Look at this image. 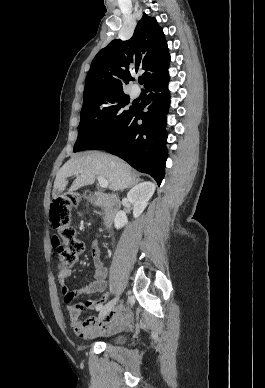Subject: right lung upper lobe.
Returning a JSON list of instances; mask_svg holds the SVG:
<instances>
[{
	"mask_svg": "<svg viewBox=\"0 0 265 388\" xmlns=\"http://www.w3.org/2000/svg\"><path fill=\"white\" fill-rule=\"evenodd\" d=\"M170 54L162 28L143 13L131 39L113 40L95 56L87 74L83 98L104 90H123L133 78L130 71L144 70L145 86L168 73Z\"/></svg>",
	"mask_w": 265,
	"mask_h": 388,
	"instance_id": "cb5924a9",
	"label": "right lung upper lobe"
}]
</instances>
